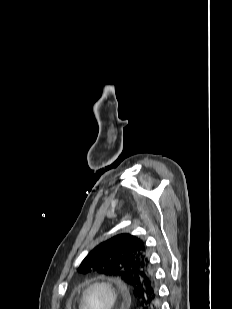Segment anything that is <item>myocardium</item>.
Returning <instances> with one entry per match:
<instances>
[{"label": "myocardium", "instance_id": "obj_1", "mask_svg": "<svg viewBox=\"0 0 232 309\" xmlns=\"http://www.w3.org/2000/svg\"><path fill=\"white\" fill-rule=\"evenodd\" d=\"M93 288H102L107 293L110 299L107 309L116 308L120 298V291L117 286L107 280H95L89 283L84 289L80 299V309H86V295Z\"/></svg>", "mask_w": 232, "mask_h": 309}]
</instances>
